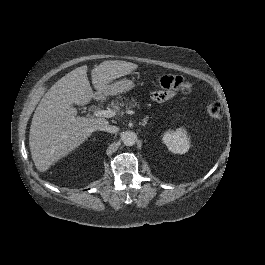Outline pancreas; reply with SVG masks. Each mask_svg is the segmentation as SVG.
<instances>
[{"instance_id":"obj_1","label":"pancreas","mask_w":265,"mask_h":265,"mask_svg":"<svg viewBox=\"0 0 265 265\" xmlns=\"http://www.w3.org/2000/svg\"><path fill=\"white\" fill-rule=\"evenodd\" d=\"M131 101H133V98H131ZM124 105H125L124 99L120 95H118L115 99L110 101V107L113 110H116L117 112L122 111L121 107H124ZM133 106H135V104H133ZM129 107L130 105L126 103V109H129Z\"/></svg>"}]
</instances>
